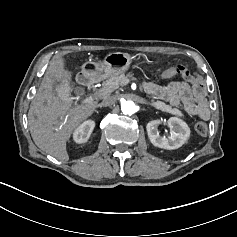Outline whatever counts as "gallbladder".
Masks as SVG:
<instances>
[{"instance_id":"bac80fb5","label":"gallbladder","mask_w":237,"mask_h":237,"mask_svg":"<svg viewBox=\"0 0 237 237\" xmlns=\"http://www.w3.org/2000/svg\"><path fill=\"white\" fill-rule=\"evenodd\" d=\"M58 77L60 79V84L56 88L58 97L62 103L69 105L73 101L71 90L74 87V77L68 68L60 70Z\"/></svg>"}]
</instances>
